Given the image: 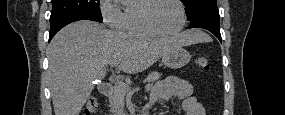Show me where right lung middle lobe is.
<instances>
[{
  "label": "right lung middle lobe",
  "mask_w": 285,
  "mask_h": 115,
  "mask_svg": "<svg viewBox=\"0 0 285 115\" xmlns=\"http://www.w3.org/2000/svg\"><path fill=\"white\" fill-rule=\"evenodd\" d=\"M99 0H52L50 25L69 17H86L102 22Z\"/></svg>",
  "instance_id": "1"
}]
</instances>
